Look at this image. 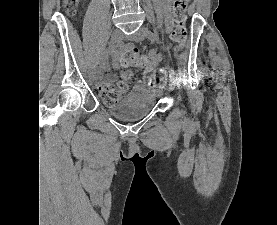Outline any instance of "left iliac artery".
I'll use <instances>...</instances> for the list:
<instances>
[{"instance_id":"obj_1","label":"left iliac artery","mask_w":277,"mask_h":225,"mask_svg":"<svg viewBox=\"0 0 277 225\" xmlns=\"http://www.w3.org/2000/svg\"><path fill=\"white\" fill-rule=\"evenodd\" d=\"M146 36L148 37V39H149L151 42H158V37H157V35H156L154 32H152V31H150V30H148V29H146ZM169 75H170V77L176 78V74H175V72H174L173 70L170 71Z\"/></svg>"}]
</instances>
